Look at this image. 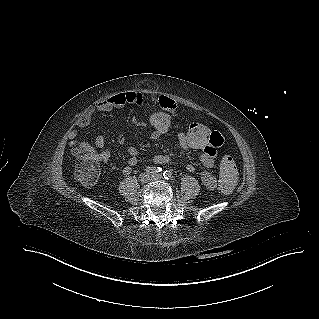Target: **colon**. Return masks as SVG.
Listing matches in <instances>:
<instances>
[{"label": "colon", "instance_id": "obj_1", "mask_svg": "<svg viewBox=\"0 0 319 319\" xmlns=\"http://www.w3.org/2000/svg\"><path fill=\"white\" fill-rule=\"evenodd\" d=\"M174 124L173 113H163L162 109L151 113L147 119L149 130L160 135L170 132ZM210 130L206 124L192 121L184 127L182 139L189 148L202 150L207 148L211 142ZM73 151L77 159L75 176L82 184L92 186L97 181L100 173V166L95 153L89 147L73 146ZM220 171V191L229 193L234 188L237 180V168L231 156L226 155L222 158Z\"/></svg>", "mask_w": 319, "mask_h": 319}]
</instances>
